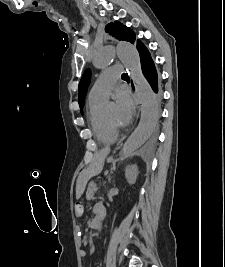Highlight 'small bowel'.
<instances>
[{"label":"small bowel","mask_w":225,"mask_h":267,"mask_svg":"<svg viewBox=\"0 0 225 267\" xmlns=\"http://www.w3.org/2000/svg\"><path fill=\"white\" fill-rule=\"evenodd\" d=\"M100 209H102V206H100V205H97V206L95 207V212H96V214H97V210H100ZM80 256H81V257H85V256H86V251H85V250H81V251H80Z\"/></svg>","instance_id":"c3829d8e"}]
</instances>
